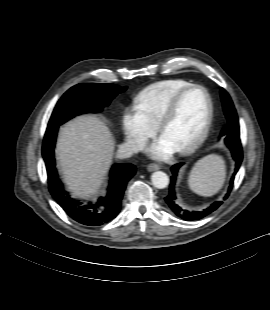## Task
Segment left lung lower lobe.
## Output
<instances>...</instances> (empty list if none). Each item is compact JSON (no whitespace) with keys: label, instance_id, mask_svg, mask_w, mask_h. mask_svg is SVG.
<instances>
[{"label":"left lung lower lobe","instance_id":"left-lung-lower-lobe-1","mask_svg":"<svg viewBox=\"0 0 270 310\" xmlns=\"http://www.w3.org/2000/svg\"><path fill=\"white\" fill-rule=\"evenodd\" d=\"M231 152H232V156L236 162L235 164V171L233 173V176L231 178V182H230V186L228 188V193L226 194V196L224 197V199H226L229 196V193L233 187V181H234V176L236 175L237 171L239 170V167L241 165L242 162V147H241V143H237L235 145H232L231 147H229ZM183 163H179L176 164L174 166H172L171 171L173 173V175L171 176V181H170V185H169V191L167 196L165 197V201L168 204V206L172 209V211L180 218L187 220V221H191V220H198L201 219L203 217H205L206 215L210 214L211 212H213L214 210H216L221 204L222 201H216L214 202L209 208L203 210V211H187L182 209L177 203H176V195H175V183H176V176H177V172L180 168V166H182Z\"/></svg>","mask_w":270,"mask_h":310}]
</instances>
